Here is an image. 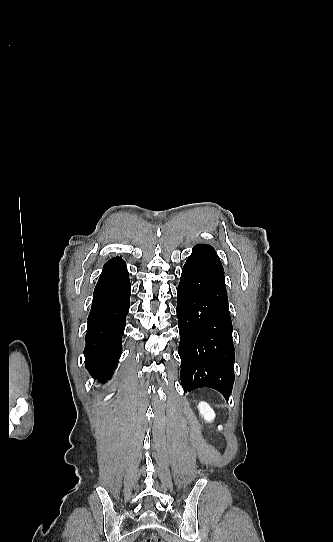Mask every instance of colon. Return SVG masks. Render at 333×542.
I'll use <instances>...</instances> for the list:
<instances>
[{
  "mask_svg": "<svg viewBox=\"0 0 333 542\" xmlns=\"http://www.w3.org/2000/svg\"><path fill=\"white\" fill-rule=\"evenodd\" d=\"M141 542H163V538L156 535L143 536Z\"/></svg>",
  "mask_w": 333,
  "mask_h": 542,
  "instance_id": "colon-1",
  "label": "colon"
}]
</instances>
